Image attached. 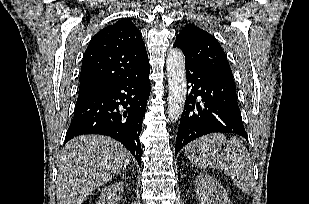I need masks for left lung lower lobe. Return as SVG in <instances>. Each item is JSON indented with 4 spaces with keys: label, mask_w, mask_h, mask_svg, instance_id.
<instances>
[{
    "label": "left lung lower lobe",
    "mask_w": 309,
    "mask_h": 204,
    "mask_svg": "<svg viewBox=\"0 0 309 204\" xmlns=\"http://www.w3.org/2000/svg\"><path fill=\"white\" fill-rule=\"evenodd\" d=\"M186 77L189 94L180 119L175 154L209 133H235L247 139L233 78L191 64H186ZM199 96L201 102L197 101Z\"/></svg>",
    "instance_id": "1"
}]
</instances>
